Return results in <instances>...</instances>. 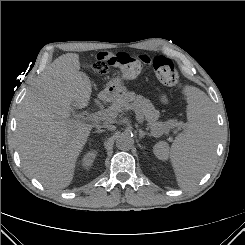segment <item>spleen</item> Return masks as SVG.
<instances>
[{
	"mask_svg": "<svg viewBox=\"0 0 245 245\" xmlns=\"http://www.w3.org/2000/svg\"><path fill=\"white\" fill-rule=\"evenodd\" d=\"M184 92L189 124L171 147L163 141L153 147V153L159 160L171 159L178 186L183 189L194 186L205 175L212 164L217 145L211 100L193 86H186Z\"/></svg>",
	"mask_w": 245,
	"mask_h": 245,
	"instance_id": "1",
	"label": "spleen"
}]
</instances>
